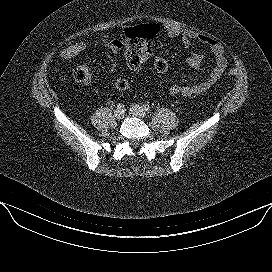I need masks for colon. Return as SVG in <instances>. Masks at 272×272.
I'll return each instance as SVG.
<instances>
[{
  "label": "colon",
  "instance_id": "obj_1",
  "mask_svg": "<svg viewBox=\"0 0 272 272\" xmlns=\"http://www.w3.org/2000/svg\"><path fill=\"white\" fill-rule=\"evenodd\" d=\"M158 26L153 23L149 24H142L139 26H136L133 28V32L135 36L141 39L143 44L147 47L151 45V40L153 37L158 33ZM94 44V40L91 37H85L82 39H79L67 47L63 48L60 52L61 57L67 59L74 57L83 51L87 50L89 47H91ZM154 69L156 73L158 74H164L168 70V63L167 61L162 57H157L154 60ZM228 74L230 76H236L237 70L236 69H230L228 71ZM92 70L90 67L86 64H81L77 66L73 71V77L74 79L79 83H88L92 79ZM114 87L118 91L126 90L129 87V82L127 79L119 78L115 81Z\"/></svg>",
  "mask_w": 272,
  "mask_h": 272
}]
</instances>
